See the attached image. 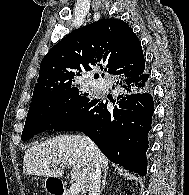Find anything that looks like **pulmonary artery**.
Segmentation results:
<instances>
[{"label":"pulmonary artery","instance_id":"obj_1","mask_svg":"<svg viewBox=\"0 0 189 195\" xmlns=\"http://www.w3.org/2000/svg\"><path fill=\"white\" fill-rule=\"evenodd\" d=\"M94 87L98 88V89H102L105 90L106 89V85L102 84V83H98V82H93L92 84Z\"/></svg>","mask_w":189,"mask_h":195}]
</instances>
